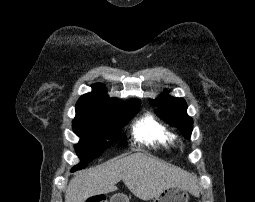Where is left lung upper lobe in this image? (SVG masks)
<instances>
[{
  "instance_id": "obj_1",
  "label": "left lung upper lobe",
  "mask_w": 255,
  "mask_h": 202,
  "mask_svg": "<svg viewBox=\"0 0 255 202\" xmlns=\"http://www.w3.org/2000/svg\"><path fill=\"white\" fill-rule=\"evenodd\" d=\"M153 106L159 107L156 113L167 123L179 127L184 136L189 139L193 130V120L186 114L187 104L183 98H175L169 95H161L151 100Z\"/></svg>"
}]
</instances>
